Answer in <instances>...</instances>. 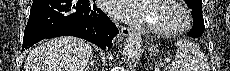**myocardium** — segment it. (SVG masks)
I'll list each match as a JSON object with an SVG mask.
<instances>
[{"label": "myocardium", "instance_id": "myocardium-1", "mask_svg": "<svg viewBox=\"0 0 230 71\" xmlns=\"http://www.w3.org/2000/svg\"><path fill=\"white\" fill-rule=\"evenodd\" d=\"M157 2L172 7L176 11H178L182 18V21L176 27H160L155 25H149L148 30L151 33L159 36L170 37V36L180 35L188 30V28L191 25L192 18L188 9L185 6H183L181 2L175 0H158Z\"/></svg>", "mask_w": 230, "mask_h": 71}]
</instances>
